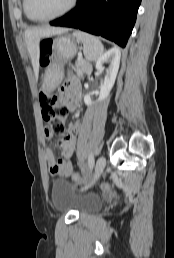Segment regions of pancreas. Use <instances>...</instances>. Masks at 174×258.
Returning <instances> with one entry per match:
<instances>
[{
  "instance_id": "obj_1",
  "label": "pancreas",
  "mask_w": 174,
  "mask_h": 258,
  "mask_svg": "<svg viewBox=\"0 0 174 258\" xmlns=\"http://www.w3.org/2000/svg\"><path fill=\"white\" fill-rule=\"evenodd\" d=\"M78 76H82L84 73L89 74L92 70V66L90 63L80 58L77 59L75 66L73 67Z\"/></svg>"
}]
</instances>
